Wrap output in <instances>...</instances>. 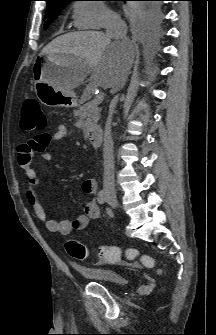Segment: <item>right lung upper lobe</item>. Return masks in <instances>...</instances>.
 Here are the masks:
<instances>
[{
  "label": "right lung upper lobe",
  "instance_id": "right-lung-upper-lobe-1",
  "mask_svg": "<svg viewBox=\"0 0 216 335\" xmlns=\"http://www.w3.org/2000/svg\"><path fill=\"white\" fill-rule=\"evenodd\" d=\"M47 5L54 4V3H60V2H70L72 0H46Z\"/></svg>",
  "mask_w": 216,
  "mask_h": 335
}]
</instances>
